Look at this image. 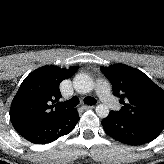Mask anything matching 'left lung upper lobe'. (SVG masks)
<instances>
[{
	"instance_id": "left-lung-upper-lobe-1",
	"label": "left lung upper lobe",
	"mask_w": 164,
	"mask_h": 164,
	"mask_svg": "<svg viewBox=\"0 0 164 164\" xmlns=\"http://www.w3.org/2000/svg\"><path fill=\"white\" fill-rule=\"evenodd\" d=\"M111 82L121 108L113 111L129 121L153 128H164V91L145 73L125 64L100 67Z\"/></svg>"
}]
</instances>
